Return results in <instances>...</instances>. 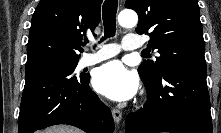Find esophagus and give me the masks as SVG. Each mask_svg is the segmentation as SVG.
Returning a JSON list of instances; mask_svg holds the SVG:
<instances>
[{
	"label": "esophagus",
	"instance_id": "esophagus-1",
	"mask_svg": "<svg viewBox=\"0 0 221 133\" xmlns=\"http://www.w3.org/2000/svg\"><path fill=\"white\" fill-rule=\"evenodd\" d=\"M112 116H113L115 123H117V124L120 123V121L122 120L121 110H119L117 108H113L112 109Z\"/></svg>",
	"mask_w": 221,
	"mask_h": 133
}]
</instances>
